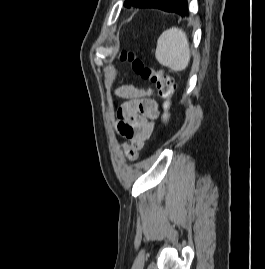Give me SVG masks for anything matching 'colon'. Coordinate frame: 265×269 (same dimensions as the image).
<instances>
[{
	"label": "colon",
	"instance_id": "5ec220e1",
	"mask_svg": "<svg viewBox=\"0 0 265 269\" xmlns=\"http://www.w3.org/2000/svg\"><path fill=\"white\" fill-rule=\"evenodd\" d=\"M121 60L130 62L136 74L155 86L157 95L162 101L160 120L163 123H167L170 118L171 99L175 92L171 77L162 70H155L147 66L131 52H122ZM119 130L127 139L132 138L135 133V128L126 122H121Z\"/></svg>",
	"mask_w": 265,
	"mask_h": 269
}]
</instances>
